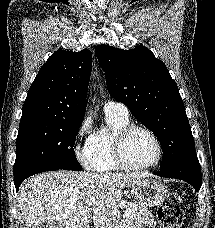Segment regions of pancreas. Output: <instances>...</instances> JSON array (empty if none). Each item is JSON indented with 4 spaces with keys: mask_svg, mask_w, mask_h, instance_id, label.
Masks as SVG:
<instances>
[{
    "mask_svg": "<svg viewBox=\"0 0 215 228\" xmlns=\"http://www.w3.org/2000/svg\"><path fill=\"white\" fill-rule=\"evenodd\" d=\"M150 212L146 206L136 204L134 210L130 212L126 220H122V228H146L150 224ZM118 226V224H117Z\"/></svg>",
    "mask_w": 215,
    "mask_h": 228,
    "instance_id": "cf45deb5",
    "label": "pancreas"
}]
</instances>
